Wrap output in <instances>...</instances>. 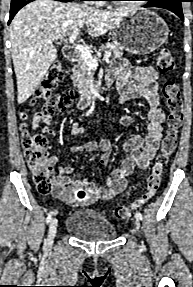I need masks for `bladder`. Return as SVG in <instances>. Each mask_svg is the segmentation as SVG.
Instances as JSON below:
<instances>
[{"label":"bladder","instance_id":"31cf9c89","mask_svg":"<svg viewBox=\"0 0 193 287\" xmlns=\"http://www.w3.org/2000/svg\"><path fill=\"white\" fill-rule=\"evenodd\" d=\"M65 228L74 237L85 241H108L117 235L116 228L105 216L90 209L72 212Z\"/></svg>","mask_w":193,"mask_h":287}]
</instances>
